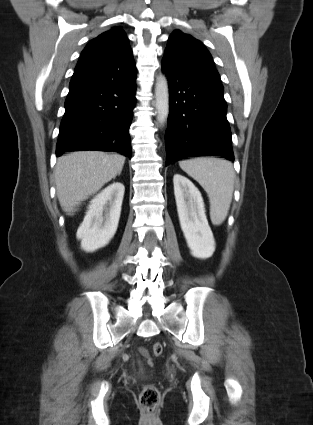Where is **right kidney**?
<instances>
[{
  "instance_id": "1",
  "label": "right kidney",
  "mask_w": 313,
  "mask_h": 425,
  "mask_svg": "<svg viewBox=\"0 0 313 425\" xmlns=\"http://www.w3.org/2000/svg\"><path fill=\"white\" fill-rule=\"evenodd\" d=\"M125 187L114 182L97 194L90 202L84 220L77 230L81 248L94 252L106 246L114 237L120 218Z\"/></svg>"
}]
</instances>
